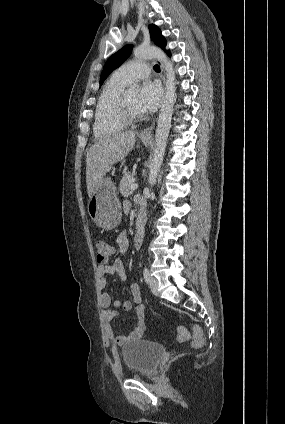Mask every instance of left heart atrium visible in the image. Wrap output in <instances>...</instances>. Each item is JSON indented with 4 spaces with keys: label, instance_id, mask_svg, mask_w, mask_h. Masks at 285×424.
<instances>
[{
    "label": "left heart atrium",
    "instance_id": "left-heart-atrium-1",
    "mask_svg": "<svg viewBox=\"0 0 285 424\" xmlns=\"http://www.w3.org/2000/svg\"><path fill=\"white\" fill-rule=\"evenodd\" d=\"M162 91L160 86L151 81H145L137 97V109L140 114L155 111L160 103Z\"/></svg>",
    "mask_w": 285,
    "mask_h": 424
}]
</instances>
